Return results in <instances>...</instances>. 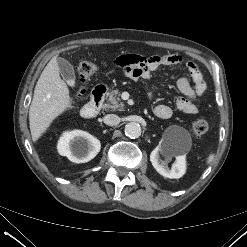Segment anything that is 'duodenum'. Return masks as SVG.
Instances as JSON below:
<instances>
[{"mask_svg":"<svg viewBox=\"0 0 247 247\" xmlns=\"http://www.w3.org/2000/svg\"><path fill=\"white\" fill-rule=\"evenodd\" d=\"M106 91L107 89L103 85H98L93 89L90 101L81 110L82 117L90 119L98 114Z\"/></svg>","mask_w":247,"mask_h":247,"instance_id":"duodenum-1","label":"duodenum"}]
</instances>
